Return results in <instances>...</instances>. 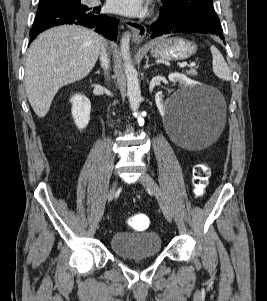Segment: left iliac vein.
I'll list each match as a JSON object with an SVG mask.
<instances>
[{"label": "left iliac vein", "instance_id": "4c4485c4", "mask_svg": "<svg viewBox=\"0 0 267 301\" xmlns=\"http://www.w3.org/2000/svg\"><path fill=\"white\" fill-rule=\"evenodd\" d=\"M139 182L153 193L162 209L165 218L169 222H172V213L169 203L157 183L148 174L141 175Z\"/></svg>", "mask_w": 267, "mask_h": 301}]
</instances>
